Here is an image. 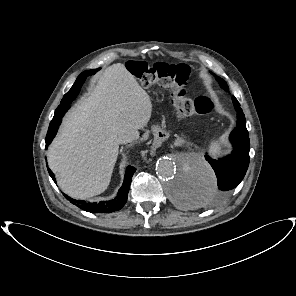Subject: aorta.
<instances>
[{"mask_svg":"<svg viewBox=\"0 0 296 296\" xmlns=\"http://www.w3.org/2000/svg\"><path fill=\"white\" fill-rule=\"evenodd\" d=\"M156 173L166 182L170 198L189 208L208 204L217 187L213 169L195 154H185L176 160L162 157L156 163Z\"/></svg>","mask_w":296,"mask_h":296,"instance_id":"aorta-1","label":"aorta"}]
</instances>
